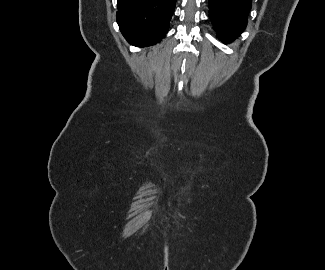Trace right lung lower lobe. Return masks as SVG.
<instances>
[{"mask_svg":"<svg viewBox=\"0 0 325 270\" xmlns=\"http://www.w3.org/2000/svg\"><path fill=\"white\" fill-rule=\"evenodd\" d=\"M176 0H117V23L131 43L150 46L167 33Z\"/></svg>","mask_w":325,"mask_h":270,"instance_id":"obj_1","label":"right lung lower lobe"}]
</instances>
